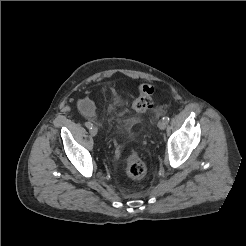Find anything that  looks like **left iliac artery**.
Returning a JSON list of instances; mask_svg holds the SVG:
<instances>
[{"label": "left iliac artery", "instance_id": "44dca946", "mask_svg": "<svg viewBox=\"0 0 246 246\" xmlns=\"http://www.w3.org/2000/svg\"><path fill=\"white\" fill-rule=\"evenodd\" d=\"M162 119L165 122V124H167L169 122V120H170L168 116H165Z\"/></svg>", "mask_w": 246, "mask_h": 246}]
</instances>
